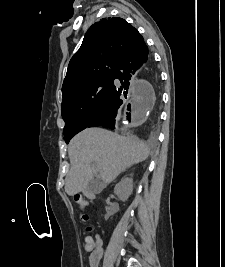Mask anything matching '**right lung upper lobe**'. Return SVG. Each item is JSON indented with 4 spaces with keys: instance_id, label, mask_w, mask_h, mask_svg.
I'll list each match as a JSON object with an SVG mask.
<instances>
[{
    "instance_id": "obj_1",
    "label": "right lung upper lobe",
    "mask_w": 225,
    "mask_h": 267,
    "mask_svg": "<svg viewBox=\"0 0 225 267\" xmlns=\"http://www.w3.org/2000/svg\"><path fill=\"white\" fill-rule=\"evenodd\" d=\"M141 42L143 37L137 29L122 18L103 19L93 24L69 62L62 93L114 75L123 55Z\"/></svg>"
}]
</instances>
